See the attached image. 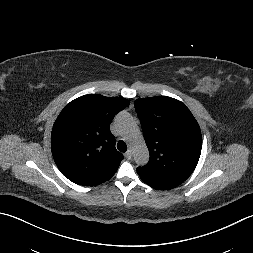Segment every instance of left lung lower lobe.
I'll return each mask as SVG.
<instances>
[{
  "mask_svg": "<svg viewBox=\"0 0 253 253\" xmlns=\"http://www.w3.org/2000/svg\"><path fill=\"white\" fill-rule=\"evenodd\" d=\"M145 183L150 185L151 187H153L155 189H160V190H168V189H172V188L176 187L174 185L166 184V183H154V182L153 183L145 182Z\"/></svg>",
  "mask_w": 253,
  "mask_h": 253,
  "instance_id": "0a47b994",
  "label": "left lung lower lobe"
}]
</instances>
